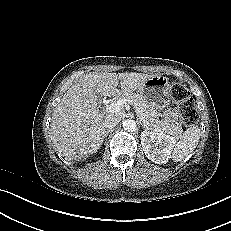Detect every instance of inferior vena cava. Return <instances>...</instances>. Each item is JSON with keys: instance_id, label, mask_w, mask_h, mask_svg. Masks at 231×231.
I'll use <instances>...</instances> for the list:
<instances>
[{"instance_id": "obj_1", "label": "inferior vena cava", "mask_w": 231, "mask_h": 231, "mask_svg": "<svg viewBox=\"0 0 231 231\" xmlns=\"http://www.w3.org/2000/svg\"><path fill=\"white\" fill-rule=\"evenodd\" d=\"M119 123V118L115 116H110L105 119L104 127L109 131L113 129Z\"/></svg>"}]
</instances>
